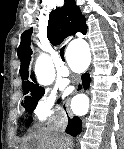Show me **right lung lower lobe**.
Masks as SVG:
<instances>
[{
	"label": "right lung lower lobe",
	"instance_id": "obj_1",
	"mask_svg": "<svg viewBox=\"0 0 124 149\" xmlns=\"http://www.w3.org/2000/svg\"><path fill=\"white\" fill-rule=\"evenodd\" d=\"M31 121L32 119H30L28 125L31 123ZM81 131H82V120L78 116H74L72 119L68 118V126L65 132L75 137L79 133H81Z\"/></svg>",
	"mask_w": 124,
	"mask_h": 149
}]
</instances>
